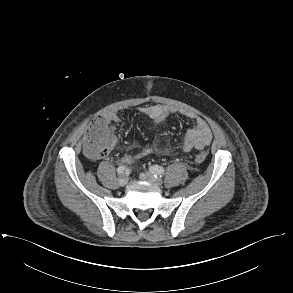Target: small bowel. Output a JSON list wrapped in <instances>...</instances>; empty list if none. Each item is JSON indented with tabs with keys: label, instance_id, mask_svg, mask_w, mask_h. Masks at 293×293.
Returning a JSON list of instances; mask_svg holds the SVG:
<instances>
[{
	"label": "small bowel",
	"instance_id": "small-bowel-1",
	"mask_svg": "<svg viewBox=\"0 0 293 293\" xmlns=\"http://www.w3.org/2000/svg\"><path fill=\"white\" fill-rule=\"evenodd\" d=\"M138 112L149 117L154 123L159 124L168 118L171 114L175 113L176 109L163 105H149L140 108ZM181 114L194 121V126L190 128L185 134L182 143L183 150L185 152H190L193 149L200 150L209 145L213 136L206 121L190 112L182 111ZM103 118L111 125L113 122H118L122 119V112L108 111L103 115ZM157 151L162 155H168L170 153L167 147H161L159 145L157 146ZM153 152H155L154 148H146L135 153L124 155L121 161L128 164L131 163L135 158L147 156Z\"/></svg>",
	"mask_w": 293,
	"mask_h": 293
}]
</instances>
